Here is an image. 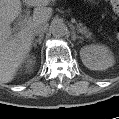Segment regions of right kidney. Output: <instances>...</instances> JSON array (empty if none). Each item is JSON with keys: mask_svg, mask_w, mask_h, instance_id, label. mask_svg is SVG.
<instances>
[{"mask_svg": "<svg viewBox=\"0 0 119 119\" xmlns=\"http://www.w3.org/2000/svg\"><path fill=\"white\" fill-rule=\"evenodd\" d=\"M32 62H33V60H32V59H30V61H29V65H28V66H30V65L32 64Z\"/></svg>", "mask_w": 119, "mask_h": 119, "instance_id": "ca27d5eb", "label": "right kidney"}]
</instances>
